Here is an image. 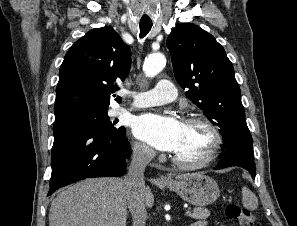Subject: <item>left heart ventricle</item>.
Wrapping results in <instances>:
<instances>
[{"mask_svg":"<svg viewBox=\"0 0 297 226\" xmlns=\"http://www.w3.org/2000/svg\"><path fill=\"white\" fill-rule=\"evenodd\" d=\"M211 142L212 135L203 125L183 123L180 144L174 155L187 161L198 160L207 153Z\"/></svg>","mask_w":297,"mask_h":226,"instance_id":"1","label":"left heart ventricle"}]
</instances>
